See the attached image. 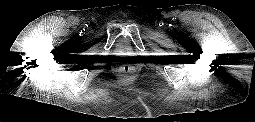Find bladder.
<instances>
[{"mask_svg": "<svg viewBox=\"0 0 255 122\" xmlns=\"http://www.w3.org/2000/svg\"><path fill=\"white\" fill-rule=\"evenodd\" d=\"M117 44L120 47H124L128 44V41H127L126 38L121 37V38L118 39Z\"/></svg>", "mask_w": 255, "mask_h": 122, "instance_id": "bladder-1", "label": "bladder"}]
</instances>
